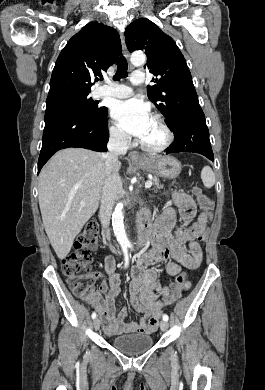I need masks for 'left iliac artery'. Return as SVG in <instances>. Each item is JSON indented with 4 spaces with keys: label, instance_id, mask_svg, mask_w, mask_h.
Instances as JSON below:
<instances>
[{
    "label": "left iliac artery",
    "instance_id": "obj_1",
    "mask_svg": "<svg viewBox=\"0 0 265 390\" xmlns=\"http://www.w3.org/2000/svg\"><path fill=\"white\" fill-rule=\"evenodd\" d=\"M168 319H169L168 315H167V314H164V315H163V320H164V321H168Z\"/></svg>",
    "mask_w": 265,
    "mask_h": 390
}]
</instances>
